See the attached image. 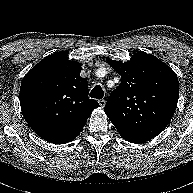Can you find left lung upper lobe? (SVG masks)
I'll return each instance as SVG.
<instances>
[{
  "mask_svg": "<svg viewBox=\"0 0 193 193\" xmlns=\"http://www.w3.org/2000/svg\"><path fill=\"white\" fill-rule=\"evenodd\" d=\"M121 75L104 111L123 138H154L171 121L179 97L175 72L151 54L135 53L122 63L107 58Z\"/></svg>",
  "mask_w": 193,
  "mask_h": 193,
  "instance_id": "5c2ea615",
  "label": "left lung upper lobe"
}]
</instances>
